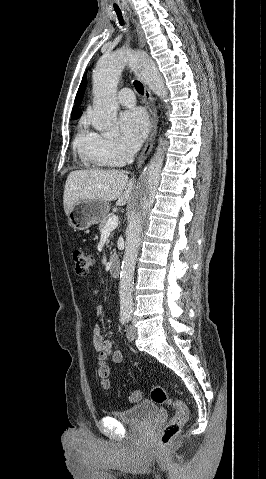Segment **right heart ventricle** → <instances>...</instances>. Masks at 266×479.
<instances>
[{
  "mask_svg": "<svg viewBox=\"0 0 266 479\" xmlns=\"http://www.w3.org/2000/svg\"><path fill=\"white\" fill-rule=\"evenodd\" d=\"M73 147L85 166L96 168L111 166L97 150V135L88 132L84 124L78 130Z\"/></svg>",
  "mask_w": 266,
  "mask_h": 479,
  "instance_id": "1",
  "label": "right heart ventricle"
}]
</instances>
